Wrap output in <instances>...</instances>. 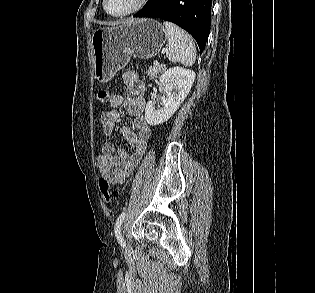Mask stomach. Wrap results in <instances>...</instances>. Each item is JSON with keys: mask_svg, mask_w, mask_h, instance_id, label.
Returning a JSON list of instances; mask_svg holds the SVG:
<instances>
[{"mask_svg": "<svg viewBox=\"0 0 315 293\" xmlns=\"http://www.w3.org/2000/svg\"><path fill=\"white\" fill-rule=\"evenodd\" d=\"M166 39V30L153 19H136L95 30L91 37L95 78L105 83L123 69L131 57L156 56Z\"/></svg>", "mask_w": 315, "mask_h": 293, "instance_id": "obj_1", "label": "stomach"}]
</instances>
